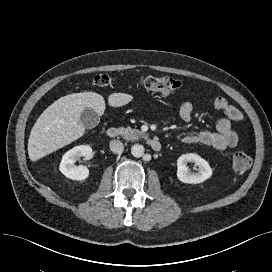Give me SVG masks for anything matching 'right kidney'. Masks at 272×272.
I'll use <instances>...</instances> for the list:
<instances>
[{
	"label": "right kidney",
	"mask_w": 272,
	"mask_h": 272,
	"mask_svg": "<svg viewBox=\"0 0 272 272\" xmlns=\"http://www.w3.org/2000/svg\"><path fill=\"white\" fill-rule=\"evenodd\" d=\"M92 148L88 145L76 146L67 151L61 160L59 169L62 174L72 180H84L89 176V169L83 165H75L77 159L91 156Z\"/></svg>",
	"instance_id": "right-kidney-1"
}]
</instances>
